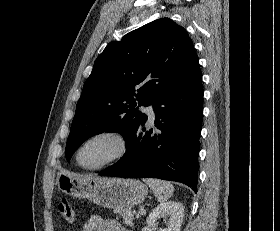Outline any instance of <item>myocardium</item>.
Returning <instances> with one entry per match:
<instances>
[{"mask_svg": "<svg viewBox=\"0 0 280 231\" xmlns=\"http://www.w3.org/2000/svg\"><path fill=\"white\" fill-rule=\"evenodd\" d=\"M101 135H111V136H114L116 137L119 142H120V145H121V149H120V152L113 158L111 159L109 162H107L106 164L100 166V167H97V168H92V169H87V168H84L81 164H80V153H81V150L83 149V147L85 146V144L95 138V137H98V136H101ZM129 139H128V136L126 135V133L118 128H104V129H101L97 132H94L93 134L89 135L81 144L80 146L78 147L77 151H76V155H75V161H76V164L77 166L85 171V172H97V171H101L105 168H108L116 163H118L119 161H121L122 159H124L129 151Z\"/></svg>", "mask_w": 280, "mask_h": 231, "instance_id": "obj_1", "label": "myocardium"}]
</instances>
